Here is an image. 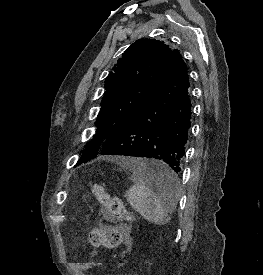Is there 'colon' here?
I'll return each mask as SVG.
<instances>
[{
	"mask_svg": "<svg viewBox=\"0 0 263 275\" xmlns=\"http://www.w3.org/2000/svg\"><path fill=\"white\" fill-rule=\"evenodd\" d=\"M92 193L101 207L113 219L129 220L131 218L130 214L126 212L123 202L119 198L110 195L101 184H94L92 186ZM88 240L89 243L94 246L109 249H114L120 244L119 235L116 229L111 226H102L92 230ZM97 266H99V262L95 260L80 263V267L84 270H89Z\"/></svg>",
	"mask_w": 263,
	"mask_h": 275,
	"instance_id": "obj_1",
	"label": "colon"
}]
</instances>
